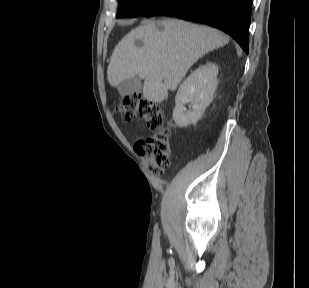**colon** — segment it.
Instances as JSON below:
<instances>
[{
    "label": "colon",
    "instance_id": "1",
    "mask_svg": "<svg viewBox=\"0 0 309 288\" xmlns=\"http://www.w3.org/2000/svg\"><path fill=\"white\" fill-rule=\"evenodd\" d=\"M117 111L127 120H143L155 131L153 135L138 140L135 149L147 160L151 172L166 171L170 166L171 142L169 131L164 128L165 112L161 107L153 100L130 94L118 105Z\"/></svg>",
    "mask_w": 309,
    "mask_h": 288
}]
</instances>
